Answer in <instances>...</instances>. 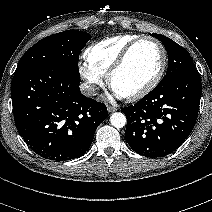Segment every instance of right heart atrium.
Listing matches in <instances>:
<instances>
[{
  "mask_svg": "<svg viewBox=\"0 0 212 212\" xmlns=\"http://www.w3.org/2000/svg\"><path fill=\"white\" fill-rule=\"evenodd\" d=\"M80 77L83 80V88L88 95H92L97 86L104 81V74L90 65L87 61H81L78 65Z\"/></svg>",
  "mask_w": 212,
  "mask_h": 212,
  "instance_id": "1",
  "label": "right heart atrium"
}]
</instances>
